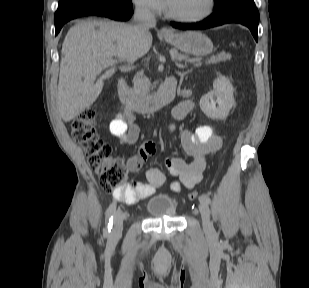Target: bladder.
<instances>
[{
    "label": "bladder",
    "mask_w": 309,
    "mask_h": 288,
    "mask_svg": "<svg viewBox=\"0 0 309 288\" xmlns=\"http://www.w3.org/2000/svg\"><path fill=\"white\" fill-rule=\"evenodd\" d=\"M145 211L151 219L173 218L177 211V201L168 194L154 193L148 197Z\"/></svg>",
    "instance_id": "bladder-1"
}]
</instances>
